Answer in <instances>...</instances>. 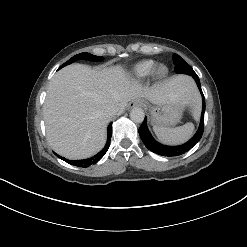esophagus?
I'll list each match as a JSON object with an SVG mask.
<instances>
[{
    "mask_svg": "<svg viewBox=\"0 0 247 247\" xmlns=\"http://www.w3.org/2000/svg\"><path fill=\"white\" fill-rule=\"evenodd\" d=\"M139 105V102L134 100L130 103L129 107H134V106H138Z\"/></svg>",
    "mask_w": 247,
    "mask_h": 247,
    "instance_id": "34e87169",
    "label": "esophagus"
}]
</instances>
